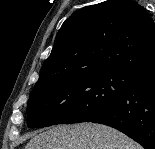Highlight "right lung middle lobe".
Segmentation results:
<instances>
[{"instance_id": "1", "label": "right lung middle lobe", "mask_w": 155, "mask_h": 149, "mask_svg": "<svg viewBox=\"0 0 155 149\" xmlns=\"http://www.w3.org/2000/svg\"><path fill=\"white\" fill-rule=\"evenodd\" d=\"M139 76L126 70L89 71L37 82L28 101L27 126L90 122L124 95Z\"/></svg>"}]
</instances>
